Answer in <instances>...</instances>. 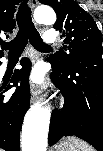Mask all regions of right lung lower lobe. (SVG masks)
Masks as SVG:
<instances>
[{"instance_id":"1","label":"right lung lower lobe","mask_w":103,"mask_h":151,"mask_svg":"<svg viewBox=\"0 0 103 151\" xmlns=\"http://www.w3.org/2000/svg\"><path fill=\"white\" fill-rule=\"evenodd\" d=\"M23 69L16 70L9 80L0 82V148L6 151H19L20 130L25 113L30 105V90L28 76L31 62L25 59L21 64ZM21 81V86L11 96H6L8 90Z\"/></svg>"}]
</instances>
